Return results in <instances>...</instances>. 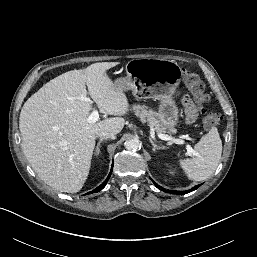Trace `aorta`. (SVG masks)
<instances>
[{
  "instance_id": "obj_1",
  "label": "aorta",
  "mask_w": 257,
  "mask_h": 257,
  "mask_svg": "<svg viewBox=\"0 0 257 257\" xmlns=\"http://www.w3.org/2000/svg\"><path fill=\"white\" fill-rule=\"evenodd\" d=\"M124 146L129 151H137L141 148V143L138 139H130L125 141Z\"/></svg>"
}]
</instances>
